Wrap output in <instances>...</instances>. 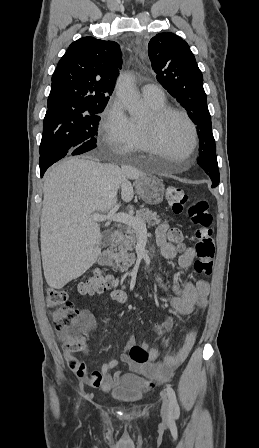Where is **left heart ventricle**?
<instances>
[{"instance_id":"b2bd125f","label":"left heart ventricle","mask_w":259,"mask_h":448,"mask_svg":"<svg viewBox=\"0 0 259 448\" xmlns=\"http://www.w3.org/2000/svg\"><path fill=\"white\" fill-rule=\"evenodd\" d=\"M148 117L142 121L145 122ZM160 142L164 149L156 150L152 155L167 162H186L189 160L191 132L183 119L178 116L167 118L161 125Z\"/></svg>"}]
</instances>
